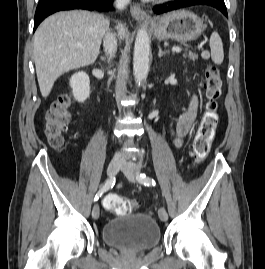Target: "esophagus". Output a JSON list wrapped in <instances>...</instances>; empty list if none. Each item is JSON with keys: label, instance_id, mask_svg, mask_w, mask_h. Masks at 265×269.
<instances>
[{"label": "esophagus", "instance_id": "esophagus-1", "mask_svg": "<svg viewBox=\"0 0 265 269\" xmlns=\"http://www.w3.org/2000/svg\"><path fill=\"white\" fill-rule=\"evenodd\" d=\"M130 13L131 16L138 21H144L148 19L147 13L138 4L131 6Z\"/></svg>", "mask_w": 265, "mask_h": 269}]
</instances>
